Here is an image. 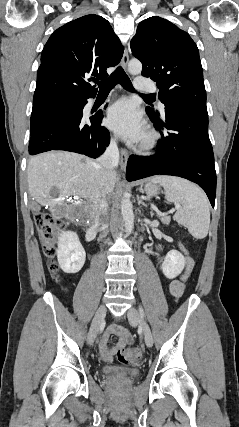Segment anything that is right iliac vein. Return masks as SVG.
Here are the masks:
<instances>
[{
  "label": "right iliac vein",
  "instance_id": "63e3f726",
  "mask_svg": "<svg viewBox=\"0 0 239 427\" xmlns=\"http://www.w3.org/2000/svg\"><path fill=\"white\" fill-rule=\"evenodd\" d=\"M106 312H107V309L105 305H101L98 308L88 333V337H87L88 344L92 345L94 343L95 338L98 334V331L104 322Z\"/></svg>",
  "mask_w": 239,
  "mask_h": 427
}]
</instances>
